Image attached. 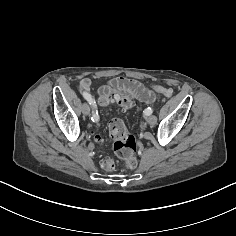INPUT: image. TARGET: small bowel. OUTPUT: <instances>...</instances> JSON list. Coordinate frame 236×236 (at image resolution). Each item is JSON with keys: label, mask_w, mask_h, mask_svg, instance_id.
I'll return each mask as SVG.
<instances>
[{"label": "small bowel", "mask_w": 236, "mask_h": 236, "mask_svg": "<svg viewBox=\"0 0 236 236\" xmlns=\"http://www.w3.org/2000/svg\"><path fill=\"white\" fill-rule=\"evenodd\" d=\"M90 86H91V81L89 78H83L80 81V87H81V89L84 90V92L88 93L90 90ZM115 88L118 90H121L124 93H128L132 97H134L140 101L146 102V103H151L155 100V97L152 94V92H150L148 89H146L142 84H140L139 82H137L135 80L126 79L124 77L115 78L112 81L111 87L103 88L101 93L104 94L107 92H111ZM91 98H92V96H91ZM92 100H93V102H95V100L93 98H92ZM93 106H95V103Z\"/></svg>", "instance_id": "obj_1"}]
</instances>
